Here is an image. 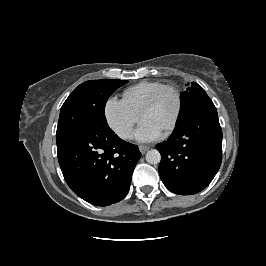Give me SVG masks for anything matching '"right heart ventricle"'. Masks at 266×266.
Listing matches in <instances>:
<instances>
[{"label":"right heart ventricle","mask_w":266,"mask_h":266,"mask_svg":"<svg viewBox=\"0 0 266 266\" xmlns=\"http://www.w3.org/2000/svg\"><path fill=\"white\" fill-rule=\"evenodd\" d=\"M162 85L164 84L159 81H141L123 92V100L133 110L140 113L151 94Z\"/></svg>","instance_id":"obj_1"}]
</instances>
